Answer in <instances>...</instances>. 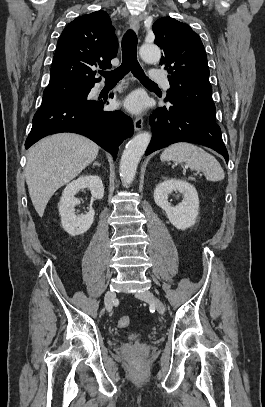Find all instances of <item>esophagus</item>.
<instances>
[{
	"label": "esophagus",
	"mask_w": 265,
	"mask_h": 407,
	"mask_svg": "<svg viewBox=\"0 0 265 407\" xmlns=\"http://www.w3.org/2000/svg\"><path fill=\"white\" fill-rule=\"evenodd\" d=\"M129 24H130V27L136 33L139 32L140 24H139V21H138V19L136 17L131 16L129 18ZM143 122H144V120H143L142 116H138V117L135 118V120H134V130L136 132L140 131L143 128Z\"/></svg>",
	"instance_id": "obj_1"
}]
</instances>
